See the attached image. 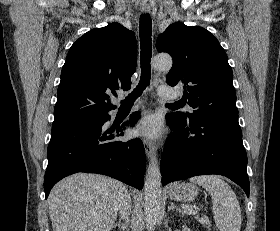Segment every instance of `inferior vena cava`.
<instances>
[{"mask_svg":"<svg viewBox=\"0 0 280 231\" xmlns=\"http://www.w3.org/2000/svg\"><path fill=\"white\" fill-rule=\"evenodd\" d=\"M119 207L121 219H128L131 211V197L129 193H124V197L121 199Z\"/></svg>","mask_w":280,"mask_h":231,"instance_id":"obj_1","label":"inferior vena cava"}]
</instances>
